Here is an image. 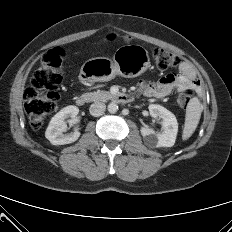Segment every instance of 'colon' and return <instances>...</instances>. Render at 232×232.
<instances>
[{"mask_svg":"<svg viewBox=\"0 0 232 232\" xmlns=\"http://www.w3.org/2000/svg\"><path fill=\"white\" fill-rule=\"evenodd\" d=\"M64 51L54 48L47 52L37 70L34 72L31 85L24 95V108L33 129L42 126L44 120L54 112L58 100V90L62 83V63ZM152 57L159 69H169L179 63L178 57L161 47L152 49ZM193 92L189 88L180 91L177 102L181 107L190 103Z\"/></svg>","mask_w":232,"mask_h":232,"instance_id":"5ec220e1","label":"colon"}]
</instances>
